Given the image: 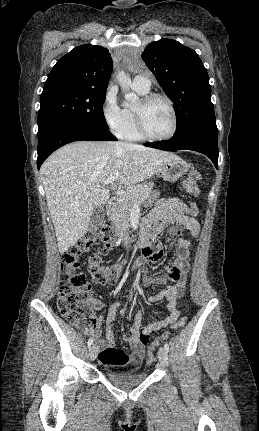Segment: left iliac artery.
<instances>
[{"label":"left iliac artery","mask_w":259,"mask_h":431,"mask_svg":"<svg viewBox=\"0 0 259 431\" xmlns=\"http://www.w3.org/2000/svg\"><path fill=\"white\" fill-rule=\"evenodd\" d=\"M164 348L167 352L169 351V345L167 343L164 344Z\"/></svg>","instance_id":"1"}]
</instances>
